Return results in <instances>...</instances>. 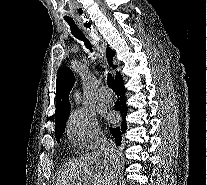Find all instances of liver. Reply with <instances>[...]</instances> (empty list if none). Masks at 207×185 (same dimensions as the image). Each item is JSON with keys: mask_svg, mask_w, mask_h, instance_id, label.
<instances>
[{"mask_svg": "<svg viewBox=\"0 0 207 185\" xmlns=\"http://www.w3.org/2000/svg\"><path fill=\"white\" fill-rule=\"evenodd\" d=\"M114 153H111V149H108L106 155H100V157H96V159H93L95 165L96 163H98V165H102V167H105L107 173H104L105 177H102L101 181H99V183H113V181H110L111 179V173H109V169L108 167H110L112 161V157H113ZM92 157H94V155H92ZM102 157H106V159H110V161H107V163H105V159H102ZM110 163V165H109ZM71 167H73V169H77V171H80V177L79 179H77V181H70L71 185H81V183H83L82 179L84 177L85 179V183H88L87 179H89V177H85V175H81L83 169H84V161H82V163H72ZM107 179V181H106ZM98 185V183H97Z\"/></svg>", "mask_w": 207, "mask_h": 185, "instance_id": "6515ba94", "label": "liver"}]
</instances>
